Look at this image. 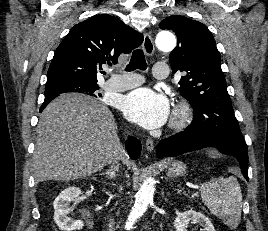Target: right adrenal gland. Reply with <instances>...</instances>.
<instances>
[{"mask_svg":"<svg viewBox=\"0 0 268 231\" xmlns=\"http://www.w3.org/2000/svg\"><path fill=\"white\" fill-rule=\"evenodd\" d=\"M118 165L111 166L110 169L106 170L105 172L100 173V175L106 176L109 180L115 179L116 174L118 172Z\"/></svg>","mask_w":268,"mask_h":231,"instance_id":"2a0ac1e0","label":"right adrenal gland"}]
</instances>
